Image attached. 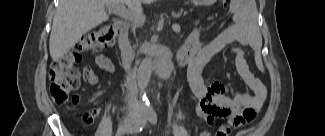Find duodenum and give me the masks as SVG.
Masks as SVG:
<instances>
[{"label":"duodenum","mask_w":325,"mask_h":136,"mask_svg":"<svg viewBox=\"0 0 325 136\" xmlns=\"http://www.w3.org/2000/svg\"><path fill=\"white\" fill-rule=\"evenodd\" d=\"M114 28L118 31L119 35V48L122 55V64L125 69H130L134 65V58L132 55L131 46L128 41V25L125 21H117L114 24ZM192 45L186 41L179 46L172 53V57L176 62L177 67L181 68L185 66L191 56Z\"/></svg>","instance_id":"410a0bca"}]
</instances>
